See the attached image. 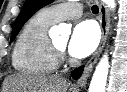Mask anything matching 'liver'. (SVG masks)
<instances>
[{
    "mask_svg": "<svg viewBox=\"0 0 127 92\" xmlns=\"http://www.w3.org/2000/svg\"><path fill=\"white\" fill-rule=\"evenodd\" d=\"M69 83L62 77L11 75L4 81L3 92H67Z\"/></svg>",
    "mask_w": 127,
    "mask_h": 92,
    "instance_id": "obj_1",
    "label": "liver"
}]
</instances>
